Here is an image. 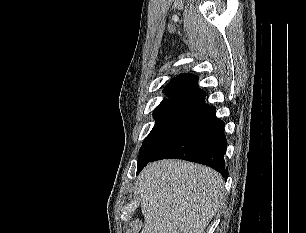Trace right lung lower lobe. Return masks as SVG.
<instances>
[{
    "label": "right lung lower lobe",
    "instance_id": "right-lung-lower-lobe-1",
    "mask_svg": "<svg viewBox=\"0 0 306 233\" xmlns=\"http://www.w3.org/2000/svg\"><path fill=\"white\" fill-rule=\"evenodd\" d=\"M226 147L224 122L216 117L215 107L211 106L190 122L148 162L165 158L184 159L212 167L227 178L228 169L224 159ZM148 162L137 167V173Z\"/></svg>",
    "mask_w": 306,
    "mask_h": 233
}]
</instances>
